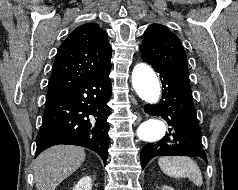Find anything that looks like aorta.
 <instances>
[{
	"instance_id": "obj_1",
	"label": "aorta",
	"mask_w": 238,
	"mask_h": 190,
	"mask_svg": "<svg viewBox=\"0 0 238 190\" xmlns=\"http://www.w3.org/2000/svg\"><path fill=\"white\" fill-rule=\"evenodd\" d=\"M132 85L137 95L147 103L155 104L160 97V85L155 72L147 64H137L132 72ZM166 132L163 121L157 118H148L138 129L137 136L144 142L159 141Z\"/></svg>"
}]
</instances>
